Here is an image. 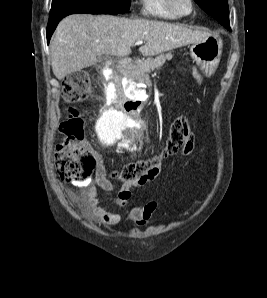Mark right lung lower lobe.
<instances>
[{"mask_svg":"<svg viewBox=\"0 0 267 298\" xmlns=\"http://www.w3.org/2000/svg\"><path fill=\"white\" fill-rule=\"evenodd\" d=\"M60 20H56L52 23H48V26H47V42L48 43H49V40H50V38H51V36Z\"/></svg>","mask_w":267,"mask_h":298,"instance_id":"1","label":"right lung lower lobe"}]
</instances>
